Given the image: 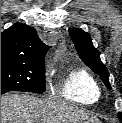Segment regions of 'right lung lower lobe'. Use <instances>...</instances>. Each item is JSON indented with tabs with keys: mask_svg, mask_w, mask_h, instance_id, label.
<instances>
[{
	"mask_svg": "<svg viewBox=\"0 0 122 123\" xmlns=\"http://www.w3.org/2000/svg\"><path fill=\"white\" fill-rule=\"evenodd\" d=\"M4 93H6V92H1V94H4Z\"/></svg>",
	"mask_w": 122,
	"mask_h": 123,
	"instance_id": "right-lung-lower-lobe-1",
	"label": "right lung lower lobe"
}]
</instances>
